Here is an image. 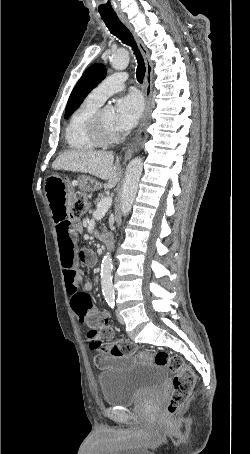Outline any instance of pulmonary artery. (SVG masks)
<instances>
[{
    "mask_svg": "<svg viewBox=\"0 0 250 454\" xmlns=\"http://www.w3.org/2000/svg\"><path fill=\"white\" fill-rule=\"evenodd\" d=\"M127 84V75L125 73H115L104 79L90 94L89 98L99 104L112 94L121 91Z\"/></svg>",
    "mask_w": 250,
    "mask_h": 454,
    "instance_id": "obj_1",
    "label": "pulmonary artery"
}]
</instances>
